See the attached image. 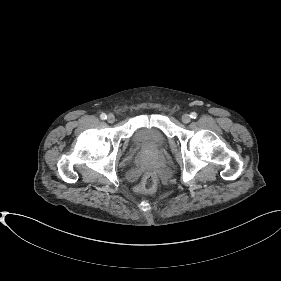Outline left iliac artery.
<instances>
[{
  "mask_svg": "<svg viewBox=\"0 0 281 281\" xmlns=\"http://www.w3.org/2000/svg\"><path fill=\"white\" fill-rule=\"evenodd\" d=\"M190 117H191L192 119H195V118L197 117V113L192 112V113L190 114Z\"/></svg>",
  "mask_w": 281,
  "mask_h": 281,
  "instance_id": "obj_1",
  "label": "left iliac artery"
}]
</instances>
